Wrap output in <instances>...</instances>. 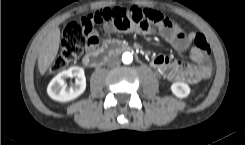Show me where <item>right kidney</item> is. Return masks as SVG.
I'll list each match as a JSON object with an SVG mask.
<instances>
[{
	"instance_id": "1",
	"label": "right kidney",
	"mask_w": 245,
	"mask_h": 145,
	"mask_svg": "<svg viewBox=\"0 0 245 145\" xmlns=\"http://www.w3.org/2000/svg\"><path fill=\"white\" fill-rule=\"evenodd\" d=\"M76 77L73 86L67 87L66 80ZM86 89L84 69L79 66L70 67L57 74L47 87L48 95L56 101L67 102L79 97Z\"/></svg>"
}]
</instances>
